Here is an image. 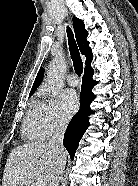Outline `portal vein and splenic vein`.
Here are the masks:
<instances>
[{
	"instance_id": "portal-vein-and-splenic-vein-1",
	"label": "portal vein and splenic vein",
	"mask_w": 138,
	"mask_h": 186,
	"mask_svg": "<svg viewBox=\"0 0 138 186\" xmlns=\"http://www.w3.org/2000/svg\"><path fill=\"white\" fill-rule=\"evenodd\" d=\"M35 186H44L43 182L42 181H37L35 183Z\"/></svg>"
}]
</instances>
